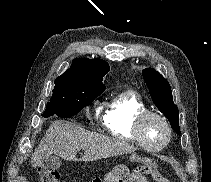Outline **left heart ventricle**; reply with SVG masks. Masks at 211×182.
Segmentation results:
<instances>
[{
    "mask_svg": "<svg viewBox=\"0 0 211 182\" xmlns=\"http://www.w3.org/2000/svg\"><path fill=\"white\" fill-rule=\"evenodd\" d=\"M142 135L148 145L158 146L166 139L167 130L159 118L149 117L143 124Z\"/></svg>",
    "mask_w": 211,
    "mask_h": 182,
    "instance_id": "b2bd125f",
    "label": "left heart ventricle"
}]
</instances>
